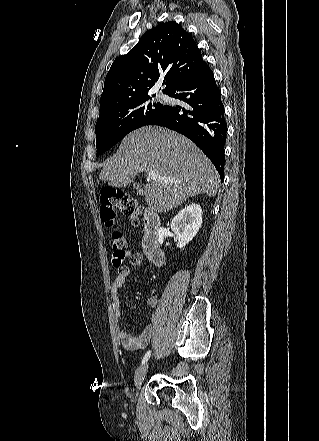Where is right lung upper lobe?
Segmentation results:
<instances>
[{
    "label": "right lung upper lobe",
    "mask_w": 319,
    "mask_h": 441,
    "mask_svg": "<svg viewBox=\"0 0 319 441\" xmlns=\"http://www.w3.org/2000/svg\"><path fill=\"white\" fill-rule=\"evenodd\" d=\"M205 62L193 37L174 21L147 31L138 44L112 64L104 83L100 111L148 96L159 78L163 93L171 90Z\"/></svg>",
    "instance_id": "1"
}]
</instances>
